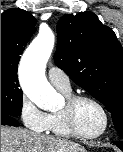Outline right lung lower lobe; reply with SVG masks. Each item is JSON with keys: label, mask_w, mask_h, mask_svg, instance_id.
<instances>
[{"label": "right lung lower lobe", "mask_w": 123, "mask_h": 152, "mask_svg": "<svg viewBox=\"0 0 123 152\" xmlns=\"http://www.w3.org/2000/svg\"><path fill=\"white\" fill-rule=\"evenodd\" d=\"M19 123L16 119L10 116H1V125L17 126Z\"/></svg>", "instance_id": "right-lung-lower-lobe-1"}]
</instances>
